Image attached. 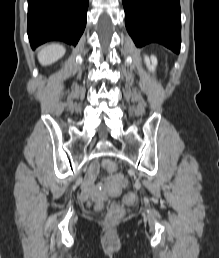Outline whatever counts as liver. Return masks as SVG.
Here are the masks:
<instances>
[{"mask_svg": "<svg viewBox=\"0 0 219 258\" xmlns=\"http://www.w3.org/2000/svg\"><path fill=\"white\" fill-rule=\"evenodd\" d=\"M65 54V48L59 44L43 47L38 53V60L43 66L51 65Z\"/></svg>", "mask_w": 219, "mask_h": 258, "instance_id": "1", "label": "liver"}]
</instances>
